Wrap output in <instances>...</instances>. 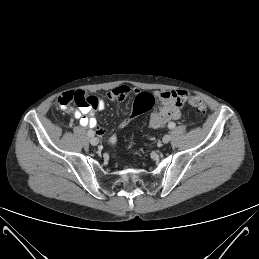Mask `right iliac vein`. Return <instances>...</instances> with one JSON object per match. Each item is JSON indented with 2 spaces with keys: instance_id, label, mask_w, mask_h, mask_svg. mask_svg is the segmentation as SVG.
<instances>
[{
  "instance_id": "1",
  "label": "right iliac vein",
  "mask_w": 259,
  "mask_h": 259,
  "mask_svg": "<svg viewBox=\"0 0 259 259\" xmlns=\"http://www.w3.org/2000/svg\"><path fill=\"white\" fill-rule=\"evenodd\" d=\"M90 143L91 145L96 146L99 143V139L93 136L90 138Z\"/></svg>"
}]
</instances>
